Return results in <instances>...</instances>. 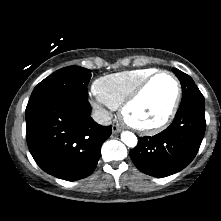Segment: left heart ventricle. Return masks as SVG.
<instances>
[{
  "mask_svg": "<svg viewBox=\"0 0 221 221\" xmlns=\"http://www.w3.org/2000/svg\"><path fill=\"white\" fill-rule=\"evenodd\" d=\"M175 94L173 80L168 75L158 76L128 109V119L139 126H151L160 122L169 112Z\"/></svg>",
  "mask_w": 221,
  "mask_h": 221,
  "instance_id": "b2bd125f",
  "label": "left heart ventricle"
}]
</instances>
